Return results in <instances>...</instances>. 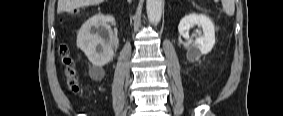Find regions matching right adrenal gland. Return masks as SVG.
Segmentation results:
<instances>
[{
    "mask_svg": "<svg viewBox=\"0 0 283 116\" xmlns=\"http://www.w3.org/2000/svg\"><path fill=\"white\" fill-rule=\"evenodd\" d=\"M131 2V0H128V3H130Z\"/></svg>",
    "mask_w": 283,
    "mask_h": 116,
    "instance_id": "2a0ac1e0",
    "label": "right adrenal gland"
}]
</instances>
